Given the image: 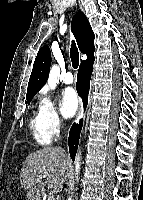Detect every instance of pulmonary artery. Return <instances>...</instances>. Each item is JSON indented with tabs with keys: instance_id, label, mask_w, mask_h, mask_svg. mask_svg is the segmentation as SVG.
<instances>
[{
	"instance_id": "pulmonary-artery-1",
	"label": "pulmonary artery",
	"mask_w": 143,
	"mask_h": 200,
	"mask_svg": "<svg viewBox=\"0 0 143 200\" xmlns=\"http://www.w3.org/2000/svg\"><path fill=\"white\" fill-rule=\"evenodd\" d=\"M62 81L65 83V84H72L73 81H74V78H73V75L71 72H66L63 77H62Z\"/></svg>"
}]
</instances>
